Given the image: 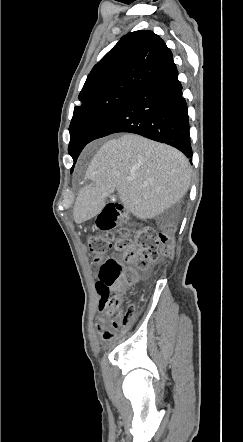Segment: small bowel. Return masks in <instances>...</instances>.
<instances>
[{
    "label": "small bowel",
    "instance_id": "obj_1",
    "mask_svg": "<svg viewBox=\"0 0 243 442\" xmlns=\"http://www.w3.org/2000/svg\"><path fill=\"white\" fill-rule=\"evenodd\" d=\"M113 315V312L110 308L104 307L100 309V317L97 322V328L100 331V335L103 338V335L110 330L112 322L110 321V317ZM104 340V339H103ZM108 341V340H105Z\"/></svg>",
    "mask_w": 243,
    "mask_h": 442
}]
</instances>
